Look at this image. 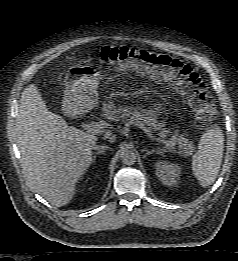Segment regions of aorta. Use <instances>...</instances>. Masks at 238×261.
Masks as SVG:
<instances>
[{
	"label": "aorta",
	"instance_id": "1",
	"mask_svg": "<svg viewBox=\"0 0 238 261\" xmlns=\"http://www.w3.org/2000/svg\"><path fill=\"white\" fill-rule=\"evenodd\" d=\"M121 161L124 165L131 166L136 162V154L131 150H124L121 152Z\"/></svg>",
	"mask_w": 238,
	"mask_h": 261
}]
</instances>
